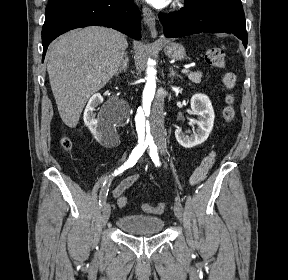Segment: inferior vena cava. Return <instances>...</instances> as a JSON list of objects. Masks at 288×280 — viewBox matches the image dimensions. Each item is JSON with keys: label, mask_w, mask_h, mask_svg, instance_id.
<instances>
[{"label": "inferior vena cava", "mask_w": 288, "mask_h": 280, "mask_svg": "<svg viewBox=\"0 0 288 280\" xmlns=\"http://www.w3.org/2000/svg\"><path fill=\"white\" fill-rule=\"evenodd\" d=\"M165 97H170V92L167 89H159L154 96V103L151 105V121L152 137H154L156 143H158L159 150H166L169 147V142L166 141V134L164 132V113L163 106ZM156 157H164V152H156Z\"/></svg>", "instance_id": "602c4592"}]
</instances>
